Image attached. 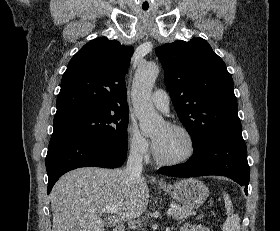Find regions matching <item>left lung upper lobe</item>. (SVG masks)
I'll return each mask as SVG.
<instances>
[{"instance_id": "obj_1", "label": "left lung upper lobe", "mask_w": 280, "mask_h": 231, "mask_svg": "<svg viewBox=\"0 0 280 231\" xmlns=\"http://www.w3.org/2000/svg\"><path fill=\"white\" fill-rule=\"evenodd\" d=\"M156 53L177 115L193 144L241 130L232 76L207 41H176L156 48Z\"/></svg>"}]
</instances>
